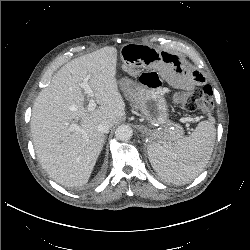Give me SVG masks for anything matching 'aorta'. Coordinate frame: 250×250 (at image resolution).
I'll return each mask as SVG.
<instances>
[{"label": "aorta", "instance_id": "obj_1", "mask_svg": "<svg viewBox=\"0 0 250 250\" xmlns=\"http://www.w3.org/2000/svg\"><path fill=\"white\" fill-rule=\"evenodd\" d=\"M133 135V130L128 124H122L116 128L115 136L120 141H128Z\"/></svg>", "mask_w": 250, "mask_h": 250}]
</instances>
